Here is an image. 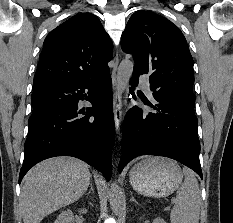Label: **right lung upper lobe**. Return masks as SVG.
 <instances>
[{"label": "right lung upper lobe", "mask_w": 233, "mask_h": 223, "mask_svg": "<svg viewBox=\"0 0 233 223\" xmlns=\"http://www.w3.org/2000/svg\"><path fill=\"white\" fill-rule=\"evenodd\" d=\"M113 45L97 16L81 13L45 38L33 91L96 78L109 70Z\"/></svg>", "instance_id": "right-lung-upper-lobe-1"}]
</instances>
